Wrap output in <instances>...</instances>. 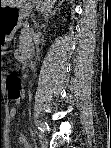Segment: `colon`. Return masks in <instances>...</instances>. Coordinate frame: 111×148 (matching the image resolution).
I'll list each match as a JSON object with an SVG mask.
<instances>
[{"instance_id":"5ec220e1","label":"colon","mask_w":111,"mask_h":148,"mask_svg":"<svg viewBox=\"0 0 111 148\" xmlns=\"http://www.w3.org/2000/svg\"><path fill=\"white\" fill-rule=\"evenodd\" d=\"M9 60L4 61L7 64ZM1 78L4 82L7 97L11 101H16L20 99L21 93V80L13 71H3L1 73Z\"/></svg>"}]
</instances>
